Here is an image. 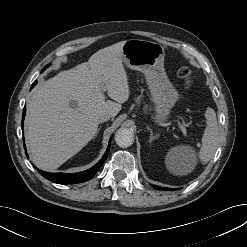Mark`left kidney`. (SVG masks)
<instances>
[{"label":"left kidney","mask_w":247,"mask_h":247,"mask_svg":"<svg viewBox=\"0 0 247 247\" xmlns=\"http://www.w3.org/2000/svg\"><path fill=\"white\" fill-rule=\"evenodd\" d=\"M175 151H176L179 155H181V154H183V153H188L190 150H189L188 147L180 146V147L176 148ZM179 155H174V154L172 155V154H169V155L167 156V162H168V161H171L172 164H174L175 159H177V158L179 157Z\"/></svg>","instance_id":"5707ae66"}]
</instances>
